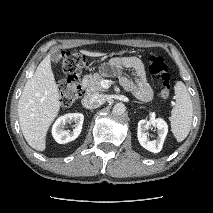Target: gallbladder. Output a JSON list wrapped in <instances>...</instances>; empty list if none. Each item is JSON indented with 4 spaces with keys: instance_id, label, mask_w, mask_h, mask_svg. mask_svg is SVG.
I'll return each instance as SVG.
<instances>
[{
    "instance_id": "bac80fb5",
    "label": "gallbladder",
    "mask_w": 213,
    "mask_h": 213,
    "mask_svg": "<svg viewBox=\"0 0 213 213\" xmlns=\"http://www.w3.org/2000/svg\"><path fill=\"white\" fill-rule=\"evenodd\" d=\"M61 56H62L61 52L56 50V51H53L51 53L50 59H51L52 63L56 64V63H58L60 61Z\"/></svg>"
}]
</instances>
